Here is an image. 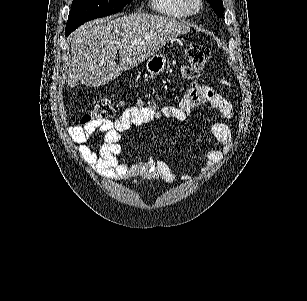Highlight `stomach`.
<instances>
[{
    "label": "stomach",
    "instance_id": "obj_1",
    "mask_svg": "<svg viewBox=\"0 0 307 301\" xmlns=\"http://www.w3.org/2000/svg\"><path fill=\"white\" fill-rule=\"evenodd\" d=\"M145 66L150 74H154V76L161 74V72H164L166 66L165 54H162V52H154V54H151V56L147 58Z\"/></svg>",
    "mask_w": 307,
    "mask_h": 301
}]
</instances>
